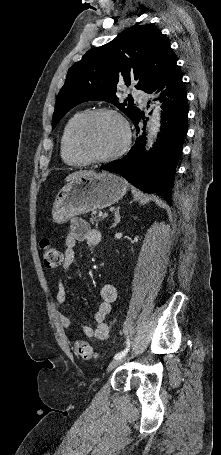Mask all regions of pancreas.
Listing matches in <instances>:
<instances>
[{
  "instance_id": "pancreas-1",
  "label": "pancreas",
  "mask_w": 221,
  "mask_h": 455,
  "mask_svg": "<svg viewBox=\"0 0 221 455\" xmlns=\"http://www.w3.org/2000/svg\"><path fill=\"white\" fill-rule=\"evenodd\" d=\"M99 221H100V219L97 216H95V213H92L91 218H90V222L92 224H98Z\"/></svg>"
}]
</instances>
